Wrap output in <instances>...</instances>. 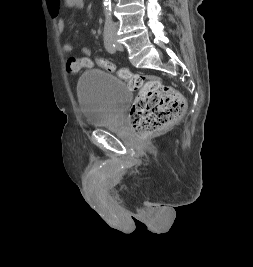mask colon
<instances>
[{
  "mask_svg": "<svg viewBox=\"0 0 253 267\" xmlns=\"http://www.w3.org/2000/svg\"><path fill=\"white\" fill-rule=\"evenodd\" d=\"M84 57H70L67 69L70 73H77L82 68H91L94 63L89 58L90 49L81 48ZM98 65L126 81L131 90L138 91V97L133 102L129 118L135 134L145 139L155 135L179 120L186 107L184 97L175 89L163 84L154 77L137 74L124 68H117L106 59H97Z\"/></svg>",
  "mask_w": 253,
  "mask_h": 267,
  "instance_id": "colon-1",
  "label": "colon"
}]
</instances>
